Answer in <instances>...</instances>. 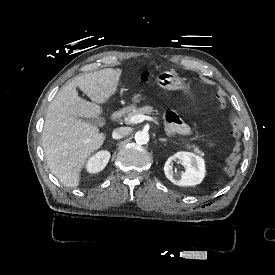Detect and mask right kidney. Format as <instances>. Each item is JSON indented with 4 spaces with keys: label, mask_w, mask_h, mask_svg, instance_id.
Listing matches in <instances>:
<instances>
[{
    "label": "right kidney",
    "mask_w": 275,
    "mask_h": 275,
    "mask_svg": "<svg viewBox=\"0 0 275 275\" xmlns=\"http://www.w3.org/2000/svg\"><path fill=\"white\" fill-rule=\"evenodd\" d=\"M111 154L109 151L102 150L93 155L87 162L88 173H98L102 171L109 162Z\"/></svg>",
    "instance_id": "right-kidney-1"
}]
</instances>
